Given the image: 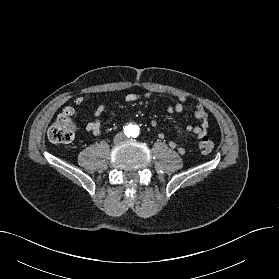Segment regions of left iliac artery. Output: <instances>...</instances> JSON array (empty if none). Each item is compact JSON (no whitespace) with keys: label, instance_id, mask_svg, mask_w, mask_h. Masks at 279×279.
I'll use <instances>...</instances> for the list:
<instances>
[{"label":"left iliac artery","instance_id":"obj_1","mask_svg":"<svg viewBox=\"0 0 279 279\" xmlns=\"http://www.w3.org/2000/svg\"><path fill=\"white\" fill-rule=\"evenodd\" d=\"M138 134H139V131H138V130L134 132V136H135V137L138 136Z\"/></svg>","mask_w":279,"mask_h":279}]
</instances>
